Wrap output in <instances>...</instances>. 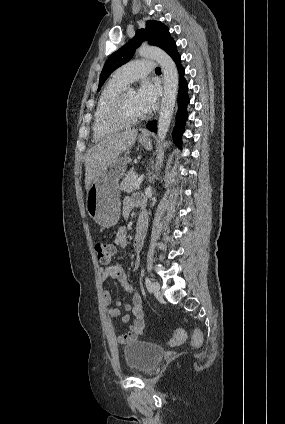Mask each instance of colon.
Instances as JSON below:
<instances>
[{
	"mask_svg": "<svg viewBox=\"0 0 285 424\" xmlns=\"http://www.w3.org/2000/svg\"><path fill=\"white\" fill-rule=\"evenodd\" d=\"M95 251L97 254V259L101 264H107L111 260L112 256L115 253V248L104 242L97 241L95 243ZM187 336L183 330H178L174 333L171 343H180L186 340ZM204 340V334L201 329H196L193 334V342L196 345H200Z\"/></svg>",
	"mask_w": 285,
	"mask_h": 424,
	"instance_id": "5ec220e1",
	"label": "colon"
}]
</instances>
